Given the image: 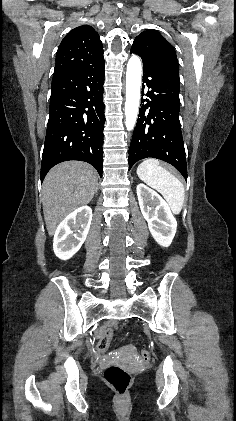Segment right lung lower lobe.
<instances>
[{
	"mask_svg": "<svg viewBox=\"0 0 236 421\" xmlns=\"http://www.w3.org/2000/svg\"><path fill=\"white\" fill-rule=\"evenodd\" d=\"M104 59L54 75L41 163V182L54 165L85 161L103 173Z\"/></svg>",
	"mask_w": 236,
	"mask_h": 421,
	"instance_id": "obj_1",
	"label": "right lung lower lobe"
}]
</instances>
